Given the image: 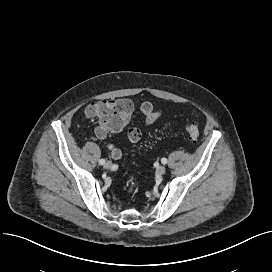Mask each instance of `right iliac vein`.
I'll return each instance as SVG.
<instances>
[{
    "label": "right iliac vein",
    "instance_id": "right-iliac-vein-1",
    "mask_svg": "<svg viewBox=\"0 0 272 272\" xmlns=\"http://www.w3.org/2000/svg\"><path fill=\"white\" fill-rule=\"evenodd\" d=\"M111 166H112V163H111L110 161H107V162L104 164V168H105V169H109V168H111Z\"/></svg>",
    "mask_w": 272,
    "mask_h": 272
}]
</instances>
